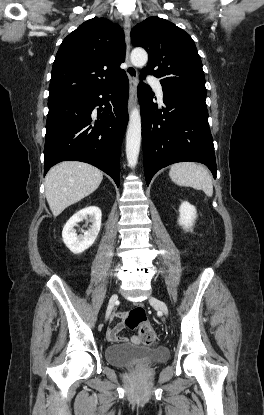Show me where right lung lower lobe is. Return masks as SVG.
<instances>
[{"label":"right lung lower lobe","mask_w":264,"mask_h":415,"mask_svg":"<svg viewBox=\"0 0 264 415\" xmlns=\"http://www.w3.org/2000/svg\"><path fill=\"white\" fill-rule=\"evenodd\" d=\"M128 93V78L124 73L100 89L48 101L44 175L61 161H82L106 172L119 186L120 148L128 122ZM96 106H99L97 116L93 112Z\"/></svg>","instance_id":"obj_1"}]
</instances>
